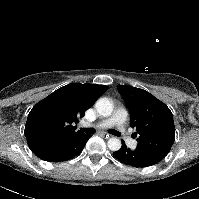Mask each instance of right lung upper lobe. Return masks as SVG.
Masks as SVG:
<instances>
[{"mask_svg": "<svg viewBox=\"0 0 199 199\" xmlns=\"http://www.w3.org/2000/svg\"><path fill=\"white\" fill-rule=\"evenodd\" d=\"M107 90L105 85L73 83L38 102L25 125L28 146L60 142L83 133L74 125Z\"/></svg>", "mask_w": 199, "mask_h": 199, "instance_id": "cb5924a9", "label": "right lung upper lobe"}]
</instances>
